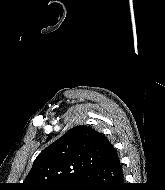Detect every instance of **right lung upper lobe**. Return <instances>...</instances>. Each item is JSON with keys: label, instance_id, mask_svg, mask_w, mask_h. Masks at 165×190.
I'll return each mask as SVG.
<instances>
[{"label": "right lung upper lobe", "instance_id": "1", "mask_svg": "<svg viewBox=\"0 0 165 190\" xmlns=\"http://www.w3.org/2000/svg\"><path fill=\"white\" fill-rule=\"evenodd\" d=\"M115 156L116 150L101 133L76 126L37 156L23 187L48 190L76 183L87 171Z\"/></svg>", "mask_w": 165, "mask_h": 190}]
</instances>
